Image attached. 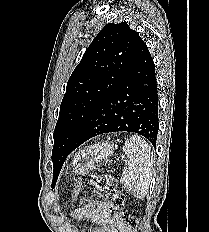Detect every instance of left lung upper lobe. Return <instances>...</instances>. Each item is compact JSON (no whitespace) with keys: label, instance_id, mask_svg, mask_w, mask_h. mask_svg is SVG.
<instances>
[{"label":"left lung upper lobe","instance_id":"left-lung-upper-lobe-1","mask_svg":"<svg viewBox=\"0 0 209 232\" xmlns=\"http://www.w3.org/2000/svg\"><path fill=\"white\" fill-rule=\"evenodd\" d=\"M140 40L127 23H108L85 51L68 80L53 133L54 182L76 133L126 74Z\"/></svg>","mask_w":209,"mask_h":232}]
</instances>
